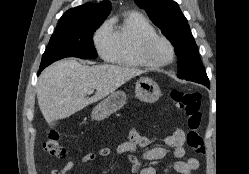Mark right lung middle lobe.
I'll use <instances>...</instances> for the list:
<instances>
[{"label": "right lung middle lobe", "mask_w": 249, "mask_h": 174, "mask_svg": "<svg viewBox=\"0 0 249 174\" xmlns=\"http://www.w3.org/2000/svg\"><path fill=\"white\" fill-rule=\"evenodd\" d=\"M102 22H91L79 28L55 31L42 56L40 69L66 57L97 58L92 36Z\"/></svg>", "instance_id": "obj_1"}]
</instances>
